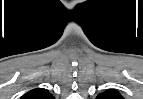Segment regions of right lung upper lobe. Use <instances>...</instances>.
Masks as SVG:
<instances>
[{"label": "right lung upper lobe", "instance_id": "right-lung-upper-lobe-1", "mask_svg": "<svg viewBox=\"0 0 143 99\" xmlns=\"http://www.w3.org/2000/svg\"><path fill=\"white\" fill-rule=\"evenodd\" d=\"M21 99H52V95L44 88H35L23 95Z\"/></svg>", "mask_w": 143, "mask_h": 99}]
</instances>
